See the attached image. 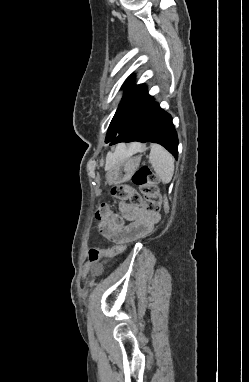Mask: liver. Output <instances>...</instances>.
Listing matches in <instances>:
<instances>
[{"label": "liver", "mask_w": 249, "mask_h": 382, "mask_svg": "<svg viewBox=\"0 0 249 382\" xmlns=\"http://www.w3.org/2000/svg\"><path fill=\"white\" fill-rule=\"evenodd\" d=\"M141 148H142V146L140 144H137V143L132 144L128 150L126 149L125 145H119L116 148V151L113 155L109 154L107 156L105 169L109 168V165H110L111 161L113 160V158L130 157L134 153L138 152Z\"/></svg>", "instance_id": "liver-1"}]
</instances>
